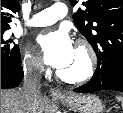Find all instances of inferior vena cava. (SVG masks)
Segmentation results:
<instances>
[{
  "label": "inferior vena cava",
  "instance_id": "inferior-vena-cava-1",
  "mask_svg": "<svg viewBox=\"0 0 123 113\" xmlns=\"http://www.w3.org/2000/svg\"><path fill=\"white\" fill-rule=\"evenodd\" d=\"M41 65L32 64L25 68L24 82L20 89L25 102L32 105L40 96Z\"/></svg>",
  "mask_w": 123,
  "mask_h": 113
}]
</instances>
